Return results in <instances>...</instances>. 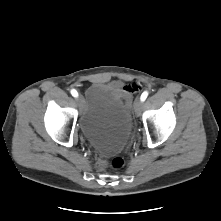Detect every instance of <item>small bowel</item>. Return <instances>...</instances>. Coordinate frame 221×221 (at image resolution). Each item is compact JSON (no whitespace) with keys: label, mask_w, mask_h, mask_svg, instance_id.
<instances>
[{"label":"small bowel","mask_w":221,"mask_h":221,"mask_svg":"<svg viewBox=\"0 0 221 221\" xmlns=\"http://www.w3.org/2000/svg\"><path fill=\"white\" fill-rule=\"evenodd\" d=\"M110 86L116 90L121 96H125V92L123 90V83L120 81H113Z\"/></svg>","instance_id":"c3829d8e"}]
</instances>
